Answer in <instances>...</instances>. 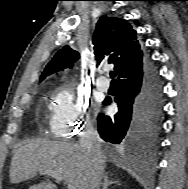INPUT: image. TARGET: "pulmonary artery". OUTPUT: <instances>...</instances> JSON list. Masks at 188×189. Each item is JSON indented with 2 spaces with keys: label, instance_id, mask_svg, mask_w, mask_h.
<instances>
[{
  "label": "pulmonary artery",
  "instance_id": "1",
  "mask_svg": "<svg viewBox=\"0 0 188 189\" xmlns=\"http://www.w3.org/2000/svg\"><path fill=\"white\" fill-rule=\"evenodd\" d=\"M110 83L105 77H100L96 81V87L100 91H107L109 89Z\"/></svg>",
  "mask_w": 188,
  "mask_h": 189
}]
</instances>
